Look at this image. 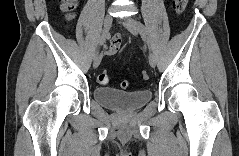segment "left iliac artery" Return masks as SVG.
Here are the masks:
<instances>
[{"label":"left iliac artery","mask_w":239,"mask_h":156,"mask_svg":"<svg viewBox=\"0 0 239 156\" xmlns=\"http://www.w3.org/2000/svg\"><path fill=\"white\" fill-rule=\"evenodd\" d=\"M138 28H139V31L142 34L143 38L146 40L148 46H150L146 27L141 22H138Z\"/></svg>","instance_id":"1"}]
</instances>
